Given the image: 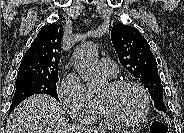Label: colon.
I'll list each match as a JSON object with an SVG mask.
<instances>
[{
	"instance_id": "colon-1",
	"label": "colon",
	"mask_w": 184,
	"mask_h": 133,
	"mask_svg": "<svg viewBox=\"0 0 184 133\" xmlns=\"http://www.w3.org/2000/svg\"><path fill=\"white\" fill-rule=\"evenodd\" d=\"M150 133H168V127L162 122H155L150 128Z\"/></svg>"
}]
</instances>
